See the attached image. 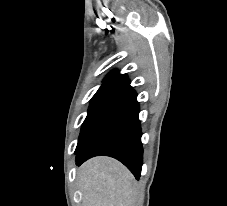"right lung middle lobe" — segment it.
<instances>
[{"label":"right lung middle lobe","instance_id":"obj_1","mask_svg":"<svg viewBox=\"0 0 227 206\" xmlns=\"http://www.w3.org/2000/svg\"><path fill=\"white\" fill-rule=\"evenodd\" d=\"M130 89L126 83H104L91 99L88 115L82 124L78 146L96 125L99 118ZM76 148V149H77Z\"/></svg>","mask_w":227,"mask_h":206}]
</instances>
